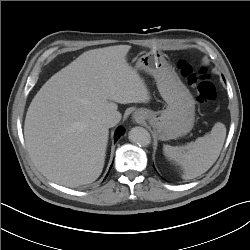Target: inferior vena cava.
I'll list each match as a JSON object with an SVG mask.
<instances>
[{"label": "inferior vena cava", "mask_w": 250, "mask_h": 250, "mask_svg": "<svg viewBox=\"0 0 250 250\" xmlns=\"http://www.w3.org/2000/svg\"><path fill=\"white\" fill-rule=\"evenodd\" d=\"M121 120V114L118 111L107 114L103 119L102 123L110 128L115 126Z\"/></svg>", "instance_id": "inferior-vena-cava-1"}]
</instances>
